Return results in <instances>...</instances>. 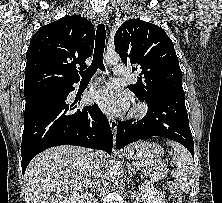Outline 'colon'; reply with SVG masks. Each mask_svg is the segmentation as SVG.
<instances>
[{
	"instance_id": "5ec220e1",
	"label": "colon",
	"mask_w": 222,
	"mask_h": 203,
	"mask_svg": "<svg viewBox=\"0 0 222 203\" xmlns=\"http://www.w3.org/2000/svg\"><path fill=\"white\" fill-rule=\"evenodd\" d=\"M169 186L174 199V203H181V196L177 185L174 182H170Z\"/></svg>"
}]
</instances>
